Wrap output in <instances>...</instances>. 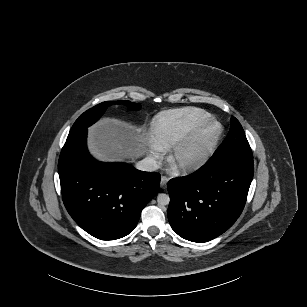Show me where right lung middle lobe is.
Segmentation results:
<instances>
[{"label": "right lung middle lobe", "instance_id": "right-lung-middle-lobe-1", "mask_svg": "<svg viewBox=\"0 0 307 307\" xmlns=\"http://www.w3.org/2000/svg\"><path fill=\"white\" fill-rule=\"evenodd\" d=\"M112 104H124L126 106H128L129 108L133 109V110H139L140 109V105L137 103H132L130 101H106V102H102L96 106H94L93 108L87 110L86 112H84L73 124L68 137H71L73 135H75L76 133L82 131L83 129L89 127L90 125H92L93 123H95L105 112L106 108L108 106H111Z\"/></svg>", "mask_w": 307, "mask_h": 307}]
</instances>
